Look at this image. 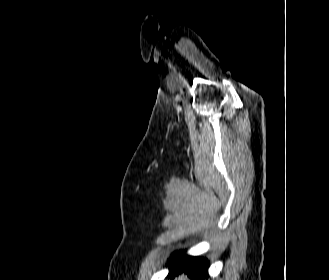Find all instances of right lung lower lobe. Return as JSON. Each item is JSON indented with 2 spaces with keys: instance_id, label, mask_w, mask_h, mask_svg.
Masks as SVG:
<instances>
[{
  "instance_id": "98d812e1",
  "label": "right lung lower lobe",
  "mask_w": 329,
  "mask_h": 280,
  "mask_svg": "<svg viewBox=\"0 0 329 280\" xmlns=\"http://www.w3.org/2000/svg\"><path fill=\"white\" fill-rule=\"evenodd\" d=\"M207 269L206 259L187 256L183 251L175 252L170 259L168 277L184 272L192 279H204L208 277Z\"/></svg>"
}]
</instances>
